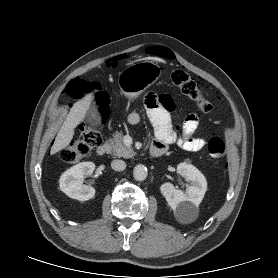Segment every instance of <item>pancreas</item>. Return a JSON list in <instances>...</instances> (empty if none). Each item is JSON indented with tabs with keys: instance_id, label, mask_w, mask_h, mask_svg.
I'll return each mask as SVG.
<instances>
[{
	"instance_id": "1",
	"label": "pancreas",
	"mask_w": 278,
	"mask_h": 278,
	"mask_svg": "<svg viewBox=\"0 0 278 278\" xmlns=\"http://www.w3.org/2000/svg\"><path fill=\"white\" fill-rule=\"evenodd\" d=\"M108 142L110 144L109 152L116 157L132 158L135 155V152L123 143V134L121 132L116 133Z\"/></svg>"
}]
</instances>
